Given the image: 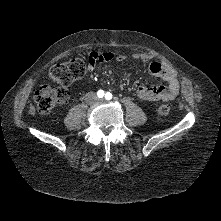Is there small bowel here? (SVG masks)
Returning a JSON list of instances; mask_svg holds the SVG:
<instances>
[{"label": "small bowel", "instance_id": "small-bowel-1", "mask_svg": "<svg viewBox=\"0 0 221 221\" xmlns=\"http://www.w3.org/2000/svg\"><path fill=\"white\" fill-rule=\"evenodd\" d=\"M132 58L144 63H149L148 71L150 75L156 79L164 81V86L148 87L141 84L136 90L138 98L145 101L167 102L173 100L179 93V80L176 71L169 65L160 61H153V57L147 53H134ZM126 55H117L113 52H96L93 51L88 57V69L92 71L99 64H103L112 60L125 61Z\"/></svg>", "mask_w": 221, "mask_h": 221}]
</instances>
